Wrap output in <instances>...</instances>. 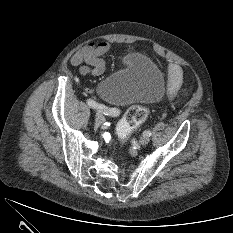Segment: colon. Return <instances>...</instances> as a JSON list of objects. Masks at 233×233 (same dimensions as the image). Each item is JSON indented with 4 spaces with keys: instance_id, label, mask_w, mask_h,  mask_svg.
Wrapping results in <instances>:
<instances>
[{
    "instance_id": "1",
    "label": "colon",
    "mask_w": 233,
    "mask_h": 233,
    "mask_svg": "<svg viewBox=\"0 0 233 233\" xmlns=\"http://www.w3.org/2000/svg\"><path fill=\"white\" fill-rule=\"evenodd\" d=\"M147 116L148 109L146 107L131 106L117 126L120 141H126L129 135L147 119Z\"/></svg>"
}]
</instances>
